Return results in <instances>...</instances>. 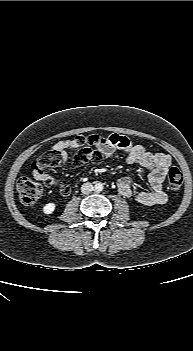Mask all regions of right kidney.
Returning <instances> with one entry per match:
<instances>
[{"label": "right kidney", "instance_id": "right-kidney-1", "mask_svg": "<svg viewBox=\"0 0 193 351\" xmlns=\"http://www.w3.org/2000/svg\"><path fill=\"white\" fill-rule=\"evenodd\" d=\"M56 205L54 203H48L45 204V206L43 207V213L44 214H52L55 210Z\"/></svg>", "mask_w": 193, "mask_h": 351}]
</instances>
